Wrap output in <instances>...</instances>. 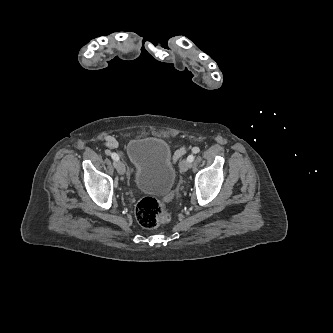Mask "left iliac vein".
Instances as JSON below:
<instances>
[{
  "instance_id": "4c4485c4",
  "label": "left iliac vein",
  "mask_w": 333,
  "mask_h": 333,
  "mask_svg": "<svg viewBox=\"0 0 333 333\" xmlns=\"http://www.w3.org/2000/svg\"><path fill=\"white\" fill-rule=\"evenodd\" d=\"M190 167H191V163L186 159H184L180 164V168H181L182 172H186Z\"/></svg>"
}]
</instances>
